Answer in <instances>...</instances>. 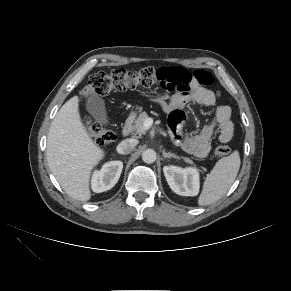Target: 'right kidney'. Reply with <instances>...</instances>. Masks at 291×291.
<instances>
[{
	"label": "right kidney",
	"instance_id": "obj_1",
	"mask_svg": "<svg viewBox=\"0 0 291 291\" xmlns=\"http://www.w3.org/2000/svg\"><path fill=\"white\" fill-rule=\"evenodd\" d=\"M123 168L121 161H110L103 165L99 171H95L91 186L96 193L110 190L118 182Z\"/></svg>",
	"mask_w": 291,
	"mask_h": 291
}]
</instances>
